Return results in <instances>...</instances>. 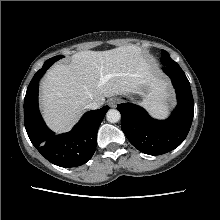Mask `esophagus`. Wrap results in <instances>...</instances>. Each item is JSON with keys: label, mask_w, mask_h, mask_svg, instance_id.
<instances>
[{"label": "esophagus", "mask_w": 220, "mask_h": 220, "mask_svg": "<svg viewBox=\"0 0 220 220\" xmlns=\"http://www.w3.org/2000/svg\"><path fill=\"white\" fill-rule=\"evenodd\" d=\"M120 99L117 97L111 98L108 101L110 107H115L119 103Z\"/></svg>", "instance_id": "1"}]
</instances>
